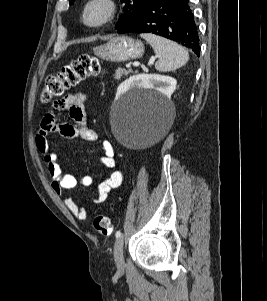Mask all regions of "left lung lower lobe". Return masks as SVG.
I'll return each mask as SVG.
<instances>
[{"label": "left lung lower lobe", "instance_id": "1", "mask_svg": "<svg viewBox=\"0 0 267 301\" xmlns=\"http://www.w3.org/2000/svg\"><path fill=\"white\" fill-rule=\"evenodd\" d=\"M189 0H149L118 33H152L176 41L199 55V36Z\"/></svg>", "mask_w": 267, "mask_h": 301}]
</instances>
